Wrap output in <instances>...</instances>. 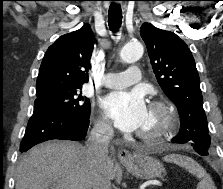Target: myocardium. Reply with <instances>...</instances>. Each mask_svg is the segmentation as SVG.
<instances>
[{
	"instance_id": "f54148a6",
	"label": "myocardium",
	"mask_w": 223,
	"mask_h": 189,
	"mask_svg": "<svg viewBox=\"0 0 223 189\" xmlns=\"http://www.w3.org/2000/svg\"><path fill=\"white\" fill-rule=\"evenodd\" d=\"M150 111L159 116L158 122L149 129H141L138 136L146 141L161 138L173 132L178 124V115L174 106L163 98H156L149 102Z\"/></svg>"
}]
</instances>
